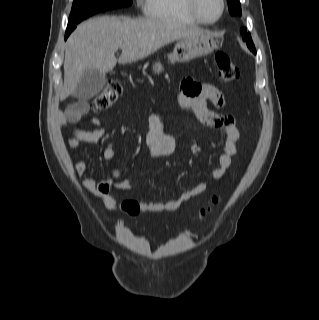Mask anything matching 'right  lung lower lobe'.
Listing matches in <instances>:
<instances>
[{"mask_svg":"<svg viewBox=\"0 0 319 320\" xmlns=\"http://www.w3.org/2000/svg\"><path fill=\"white\" fill-rule=\"evenodd\" d=\"M73 30H74V29H73ZM73 30H66L65 39H67V37L69 36V34H70Z\"/></svg>","mask_w":319,"mask_h":320,"instance_id":"98d812e1","label":"right lung lower lobe"}]
</instances>
